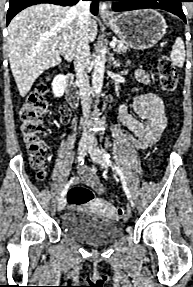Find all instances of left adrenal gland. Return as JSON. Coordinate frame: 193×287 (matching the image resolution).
I'll use <instances>...</instances> for the list:
<instances>
[{"label":"left adrenal gland","mask_w":193,"mask_h":287,"mask_svg":"<svg viewBox=\"0 0 193 287\" xmlns=\"http://www.w3.org/2000/svg\"><path fill=\"white\" fill-rule=\"evenodd\" d=\"M111 63L114 65V67H119L120 62L116 61L114 58V53L111 55Z\"/></svg>","instance_id":"left-adrenal-gland-1"}]
</instances>
